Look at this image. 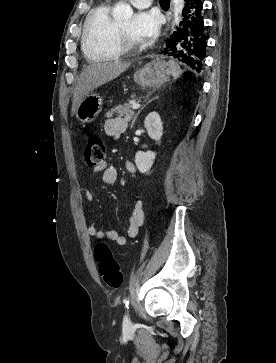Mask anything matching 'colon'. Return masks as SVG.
Segmentation results:
<instances>
[{"label":"colon","mask_w":276,"mask_h":363,"mask_svg":"<svg viewBox=\"0 0 276 363\" xmlns=\"http://www.w3.org/2000/svg\"><path fill=\"white\" fill-rule=\"evenodd\" d=\"M106 157L105 145L98 134L91 133L85 137L83 158L90 167H96L104 163ZM98 271L104 282L112 288H118L122 284L123 275L119 264L114 258L110 247L105 243H98L94 249Z\"/></svg>","instance_id":"5ec220e1"}]
</instances>
